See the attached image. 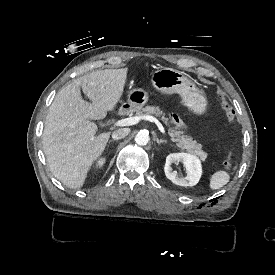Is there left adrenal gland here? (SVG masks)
<instances>
[{
    "label": "left adrenal gland",
    "mask_w": 275,
    "mask_h": 275,
    "mask_svg": "<svg viewBox=\"0 0 275 275\" xmlns=\"http://www.w3.org/2000/svg\"><path fill=\"white\" fill-rule=\"evenodd\" d=\"M155 137H156V142H157V144H161V143H166V142H167L166 139H164V140L158 139L156 135H155Z\"/></svg>",
    "instance_id": "obj_1"
}]
</instances>
